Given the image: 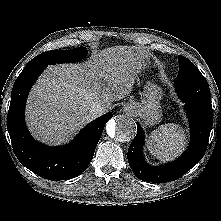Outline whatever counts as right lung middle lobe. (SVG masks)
<instances>
[{
	"mask_svg": "<svg viewBox=\"0 0 221 221\" xmlns=\"http://www.w3.org/2000/svg\"><path fill=\"white\" fill-rule=\"evenodd\" d=\"M87 54L85 47H78L71 50L46 51L33 58L27 65L69 63L83 59Z\"/></svg>",
	"mask_w": 221,
	"mask_h": 221,
	"instance_id": "1",
	"label": "right lung middle lobe"
}]
</instances>
